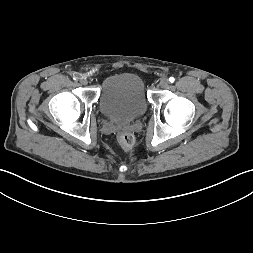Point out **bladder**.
Returning <instances> with one entry per match:
<instances>
[{
    "label": "bladder",
    "instance_id": "bladder-1",
    "mask_svg": "<svg viewBox=\"0 0 253 253\" xmlns=\"http://www.w3.org/2000/svg\"><path fill=\"white\" fill-rule=\"evenodd\" d=\"M99 109L107 119L130 122L148 107L144 82L136 74L120 73L108 77L100 88Z\"/></svg>",
    "mask_w": 253,
    "mask_h": 253
}]
</instances>
